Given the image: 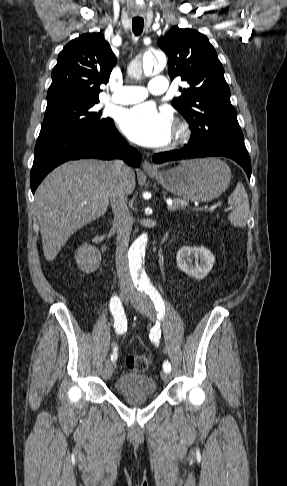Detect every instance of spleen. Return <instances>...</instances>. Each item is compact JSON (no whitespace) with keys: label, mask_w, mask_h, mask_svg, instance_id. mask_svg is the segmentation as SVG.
Masks as SVG:
<instances>
[{"label":"spleen","mask_w":287,"mask_h":486,"mask_svg":"<svg viewBox=\"0 0 287 486\" xmlns=\"http://www.w3.org/2000/svg\"><path fill=\"white\" fill-rule=\"evenodd\" d=\"M228 203L233 211L228 215V220L235 227H245L249 217V199L245 187L238 182L235 190L228 198Z\"/></svg>","instance_id":"1"}]
</instances>
